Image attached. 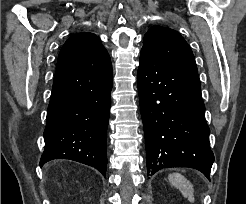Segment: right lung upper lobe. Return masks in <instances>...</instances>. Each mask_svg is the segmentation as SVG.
<instances>
[{
  "label": "right lung upper lobe",
  "mask_w": 246,
  "mask_h": 204,
  "mask_svg": "<svg viewBox=\"0 0 246 204\" xmlns=\"http://www.w3.org/2000/svg\"><path fill=\"white\" fill-rule=\"evenodd\" d=\"M111 65L107 50L93 33L71 36L61 48L56 72L86 68H107Z\"/></svg>",
  "instance_id": "right-lung-upper-lobe-1"
}]
</instances>
